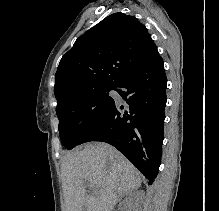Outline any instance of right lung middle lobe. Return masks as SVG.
I'll return each mask as SVG.
<instances>
[{
	"mask_svg": "<svg viewBox=\"0 0 219 211\" xmlns=\"http://www.w3.org/2000/svg\"><path fill=\"white\" fill-rule=\"evenodd\" d=\"M111 90L97 89L58 104L59 135L65 148L79 145L82 136L107 115L115 103L109 96Z\"/></svg>",
	"mask_w": 219,
	"mask_h": 211,
	"instance_id": "1",
	"label": "right lung middle lobe"
}]
</instances>
